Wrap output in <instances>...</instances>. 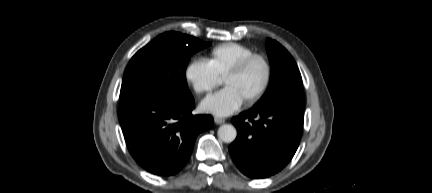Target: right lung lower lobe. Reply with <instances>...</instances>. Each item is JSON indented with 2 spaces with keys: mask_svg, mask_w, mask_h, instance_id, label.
<instances>
[{
  "mask_svg": "<svg viewBox=\"0 0 432 193\" xmlns=\"http://www.w3.org/2000/svg\"><path fill=\"white\" fill-rule=\"evenodd\" d=\"M193 96L175 100L142 94L120 103L119 119L128 149L145 170L177 174L191 156L197 135L210 129V115H194Z\"/></svg>",
  "mask_w": 432,
  "mask_h": 193,
  "instance_id": "98d812e1",
  "label": "right lung lower lobe"
}]
</instances>
